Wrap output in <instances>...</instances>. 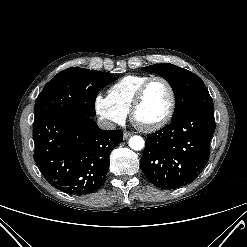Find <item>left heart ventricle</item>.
Listing matches in <instances>:
<instances>
[{
	"label": "left heart ventricle",
	"instance_id": "left-heart-ventricle-1",
	"mask_svg": "<svg viewBox=\"0 0 247 247\" xmlns=\"http://www.w3.org/2000/svg\"><path fill=\"white\" fill-rule=\"evenodd\" d=\"M169 106L170 93L167 86L162 81H154L136 112V120L144 125L153 124L166 115Z\"/></svg>",
	"mask_w": 247,
	"mask_h": 247
}]
</instances>
